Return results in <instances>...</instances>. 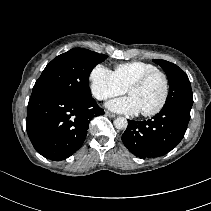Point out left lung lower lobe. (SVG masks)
Instances as JSON below:
<instances>
[{"instance_id": "left-lung-lower-lobe-1", "label": "left lung lower lobe", "mask_w": 211, "mask_h": 211, "mask_svg": "<svg viewBox=\"0 0 211 211\" xmlns=\"http://www.w3.org/2000/svg\"><path fill=\"white\" fill-rule=\"evenodd\" d=\"M190 107L172 104L147 121L128 120L122 135L126 148L141 158L160 157L174 149L184 137Z\"/></svg>"}]
</instances>
